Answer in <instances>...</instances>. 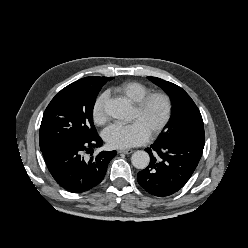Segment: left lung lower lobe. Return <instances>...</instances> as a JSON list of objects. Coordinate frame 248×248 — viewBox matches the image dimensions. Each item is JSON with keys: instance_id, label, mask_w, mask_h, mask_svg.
Instances as JSON below:
<instances>
[{"instance_id": "0a47b994", "label": "left lung lower lobe", "mask_w": 248, "mask_h": 248, "mask_svg": "<svg viewBox=\"0 0 248 248\" xmlns=\"http://www.w3.org/2000/svg\"><path fill=\"white\" fill-rule=\"evenodd\" d=\"M204 144V140L188 137L156 141L145 149L150 155V164L137 175L140 186L158 197L176 193L196 169Z\"/></svg>"}]
</instances>
